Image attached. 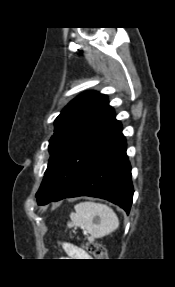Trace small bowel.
<instances>
[{"label": "small bowel", "mask_w": 175, "mask_h": 287, "mask_svg": "<svg viewBox=\"0 0 175 287\" xmlns=\"http://www.w3.org/2000/svg\"><path fill=\"white\" fill-rule=\"evenodd\" d=\"M60 245L62 246L64 251L71 256H75V257L85 256L84 252H82L81 250L73 246L72 244H69L67 242H60Z\"/></svg>", "instance_id": "obj_1"}]
</instances>
